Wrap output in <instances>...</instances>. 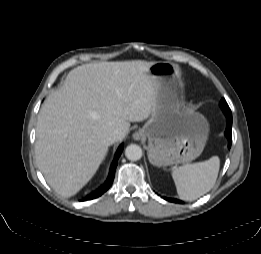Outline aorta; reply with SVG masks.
<instances>
[{"instance_id": "obj_1", "label": "aorta", "mask_w": 261, "mask_h": 254, "mask_svg": "<svg viewBox=\"0 0 261 254\" xmlns=\"http://www.w3.org/2000/svg\"><path fill=\"white\" fill-rule=\"evenodd\" d=\"M143 155L142 149L137 144H130L125 149V156L128 160L137 161L140 160Z\"/></svg>"}]
</instances>
